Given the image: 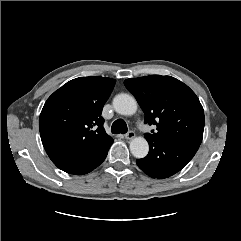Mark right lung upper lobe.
Here are the masks:
<instances>
[{"label":"right lung upper lobe","instance_id":"cb5924a9","mask_svg":"<svg viewBox=\"0 0 241 241\" xmlns=\"http://www.w3.org/2000/svg\"><path fill=\"white\" fill-rule=\"evenodd\" d=\"M115 82L98 76L76 78L47 99L39 129L42 144L54 164L88 153L111 139L103 128L101 112Z\"/></svg>","mask_w":241,"mask_h":241}]
</instances>
